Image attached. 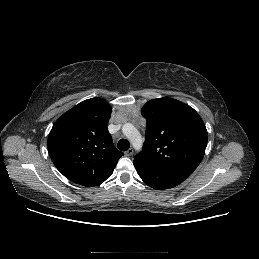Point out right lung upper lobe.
<instances>
[{
    "label": "right lung upper lobe",
    "mask_w": 259,
    "mask_h": 259,
    "mask_svg": "<svg viewBox=\"0 0 259 259\" xmlns=\"http://www.w3.org/2000/svg\"><path fill=\"white\" fill-rule=\"evenodd\" d=\"M112 108L91 98L64 113L48 136V152L56 168L82 186L100 185L109 178L123 152L117 150L107 125Z\"/></svg>",
    "instance_id": "right-lung-upper-lobe-1"
}]
</instances>
